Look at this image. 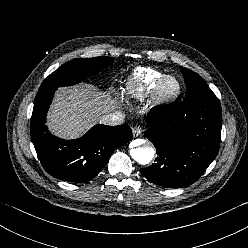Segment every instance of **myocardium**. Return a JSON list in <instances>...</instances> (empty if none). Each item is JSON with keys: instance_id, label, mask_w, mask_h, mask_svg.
<instances>
[{"instance_id": "f54148a6", "label": "myocardium", "mask_w": 248, "mask_h": 248, "mask_svg": "<svg viewBox=\"0 0 248 248\" xmlns=\"http://www.w3.org/2000/svg\"><path fill=\"white\" fill-rule=\"evenodd\" d=\"M169 81L176 83V90L172 94L165 93V86ZM182 84L180 80L172 75L165 76L157 85L154 91L155 102L158 105H169L174 103L181 95Z\"/></svg>"}]
</instances>
